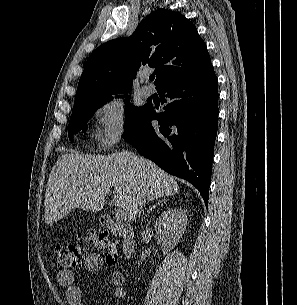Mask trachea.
<instances>
[{"mask_svg": "<svg viewBox=\"0 0 297 305\" xmlns=\"http://www.w3.org/2000/svg\"><path fill=\"white\" fill-rule=\"evenodd\" d=\"M155 79V75H150L149 80L153 81Z\"/></svg>", "mask_w": 297, "mask_h": 305, "instance_id": "1", "label": "trachea"}]
</instances>
